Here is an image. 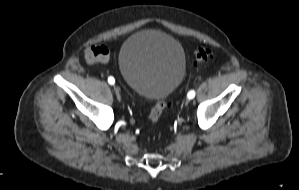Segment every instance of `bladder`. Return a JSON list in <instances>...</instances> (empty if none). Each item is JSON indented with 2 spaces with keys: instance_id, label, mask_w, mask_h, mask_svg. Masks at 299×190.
<instances>
[{
  "instance_id": "obj_1",
  "label": "bladder",
  "mask_w": 299,
  "mask_h": 190,
  "mask_svg": "<svg viewBox=\"0 0 299 190\" xmlns=\"http://www.w3.org/2000/svg\"><path fill=\"white\" fill-rule=\"evenodd\" d=\"M118 63L122 78L135 93L158 100L180 85L186 71L179 41L153 30L131 35L120 50Z\"/></svg>"
}]
</instances>
